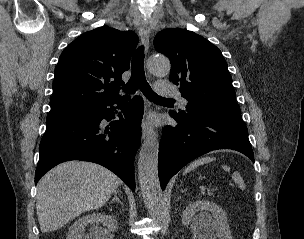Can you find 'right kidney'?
<instances>
[{"instance_id":"ca27d5eb","label":"right kidney","mask_w":304,"mask_h":239,"mask_svg":"<svg viewBox=\"0 0 304 239\" xmlns=\"http://www.w3.org/2000/svg\"><path fill=\"white\" fill-rule=\"evenodd\" d=\"M92 225L90 234H85L84 227ZM117 229L114 217L103 213H91L82 216L70 227L67 239H107L109 232Z\"/></svg>"}]
</instances>
